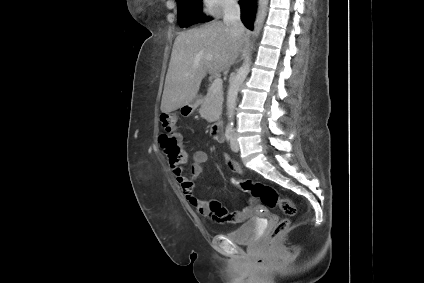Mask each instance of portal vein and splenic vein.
Wrapping results in <instances>:
<instances>
[{
  "mask_svg": "<svg viewBox=\"0 0 424 283\" xmlns=\"http://www.w3.org/2000/svg\"><path fill=\"white\" fill-rule=\"evenodd\" d=\"M222 84H223L222 79H221L220 77H216V78L213 80V82H212L211 86L209 87V90H210L212 93H217V92H219V91H221V90H222Z\"/></svg>",
  "mask_w": 424,
  "mask_h": 283,
  "instance_id": "18ae733b",
  "label": "portal vein and splenic vein"
}]
</instances>
